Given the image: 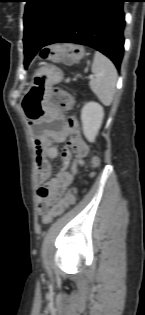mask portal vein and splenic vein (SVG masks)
I'll return each instance as SVG.
<instances>
[{"label": "portal vein and splenic vein", "instance_id": "portal-vein-and-splenic-vein-1", "mask_svg": "<svg viewBox=\"0 0 145 315\" xmlns=\"http://www.w3.org/2000/svg\"><path fill=\"white\" fill-rule=\"evenodd\" d=\"M88 78H89V79H93V78H94V75H90Z\"/></svg>", "mask_w": 145, "mask_h": 315}]
</instances>
